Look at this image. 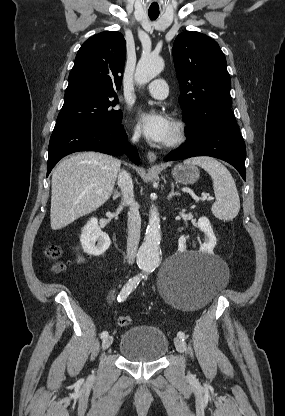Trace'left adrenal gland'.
Returning a JSON list of instances; mask_svg holds the SVG:
<instances>
[{
  "label": "left adrenal gland",
  "instance_id": "obj_1",
  "mask_svg": "<svg viewBox=\"0 0 285 416\" xmlns=\"http://www.w3.org/2000/svg\"><path fill=\"white\" fill-rule=\"evenodd\" d=\"M172 196H181L179 192H174V182H171V192L169 196H167V200H171Z\"/></svg>",
  "mask_w": 285,
  "mask_h": 416
}]
</instances>
